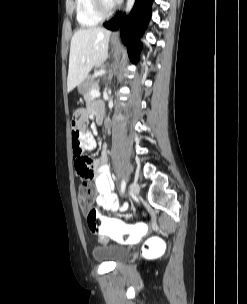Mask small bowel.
<instances>
[{"instance_id": "c3829d8e", "label": "small bowel", "mask_w": 247, "mask_h": 304, "mask_svg": "<svg viewBox=\"0 0 247 304\" xmlns=\"http://www.w3.org/2000/svg\"><path fill=\"white\" fill-rule=\"evenodd\" d=\"M102 109V106L97 104V109ZM86 111L72 112L70 143L73 158L75 159V168L79 176L85 179H93L97 191L96 204L106 211H125L127 204H120L117 195L114 193V182L106 164H103L108 155V148L104 147L101 157L98 160H93L86 157V152L96 147V141L93 135L87 131L82 130L83 122L86 118ZM77 159H85L83 166L77 164Z\"/></svg>"}]
</instances>
